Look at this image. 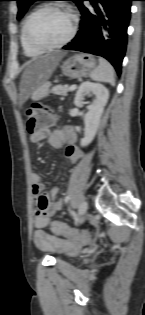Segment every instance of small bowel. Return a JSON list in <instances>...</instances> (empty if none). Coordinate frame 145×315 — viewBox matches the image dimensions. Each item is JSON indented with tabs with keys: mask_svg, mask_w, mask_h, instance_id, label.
<instances>
[{
	"mask_svg": "<svg viewBox=\"0 0 145 315\" xmlns=\"http://www.w3.org/2000/svg\"><path fill=\"white\" fill-rule=\"evenodd\" d=\"M48 139L51 147L61 149L65 147V155L71 162L76 163L81 158V152L75 147V133L69 126L50 131L43 129L30 135L31 145L35 146L37 142ZM32 193L35 196V219L36 230L33 232V242L35 246L43 251L60 250L71 252L77 250L82 243H86L88 238L81 239H62L56 235L47 234L43 228L52 222L53 215L62 209L63 202L56 200L59 193L57 187H52L48 193H43V184L39 173H31Z\"/></svg>",
	"mask_w": 145,
	"mask_h": 315,
	"instance_id": "1",
	"label": "small bowel"
}]
</instances>
